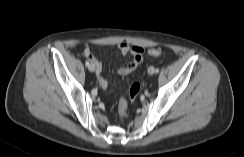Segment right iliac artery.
Segmentation results:
<instances>
[{
    "instance_id": "82829eb1",
    "label": "right iliac artery",
    "mask_w": 244,
    "mask_h": 157,
    "mask_svg": "<svg viewBox=\"0 0 244 157\" xmlns=\"http://www.w3.org/2000/svg\"><path fill=\"white\" fill-rule=\"evenodd\" d=\"M85 65H86V66H89V65H90V63H89L88 60H86Z\"/></svg>"
}]
</instances>
